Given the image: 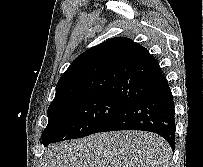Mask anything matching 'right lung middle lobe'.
Returning <instances> with one entry per match:
<instances>
[{"mask_svg": "<svg viewBox=\"0 0 203 167\" xmlns=\"http://www.w3.org/2000/svg\"><path fill=\"white\" fill-rule=\"evenodd\" d=\"M128 105L115 98L90 96L48 108L49 121L42 142L47 146L96 133Z\"/></svg>", "mask_w": 203, "mask_h": 167, "instance_id": "1", "label": "right lung middle lobe"}]
</instances>
